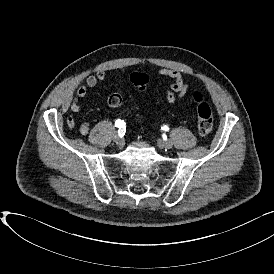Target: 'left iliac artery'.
I'll list each match as a JSON object with an SVG mask.
<instances>
[{
  "label": "left iliac artery",
  "instance_id": "obj_1",
  "mask_svg": "<svg viewBox=\"0 0 274 274\" xmlns=\"http://www.w3.org/2000/svg\"><path fill=\"white\" fill-rule=\"evenodd\" d=\"M162 129H163L164 131H169V127L166 126V125H164V126L162 127Z\"/></svg>",
  "mask_w": 274,
  "mask_h": 274
}]
</instances>
